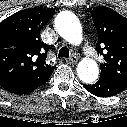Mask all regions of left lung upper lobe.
<instances>
[{
  "mask_svg": "<svg viewBox=\"0 0 127 127\" xmlns=\"http://www.w3.org/2000/svg\"><path fill=\"white\" fill-rule=\"evenodd\" d=\"M92 17L98 33L96 50L105 59L100 75L127 85V19L105 6L95 7Z\"/></svg>",
  "mask_w": 127,
  "mask_h": 127,
  "instance_id": "1",
  "label": "left lung upper lobe"
}]
</instances>
